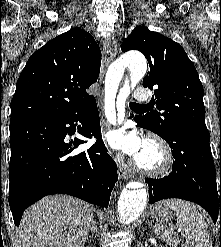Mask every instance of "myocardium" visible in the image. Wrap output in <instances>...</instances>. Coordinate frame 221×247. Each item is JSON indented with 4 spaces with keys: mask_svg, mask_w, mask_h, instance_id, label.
Masks as SVG:
<instances>
[{
    "mask_svg": "<svg viewBox=\"0 0 221 247\" xmlns=\"http://www.w3.org/2000/svg\"><path fill=\"white\" fill-rule=\"evenodd\" d=\"M145 144L152 146L158 152L160 161L156 166H146L135 157L132 160L134 169L149 177H163L168 175L174 169L176 161L172 146L157 134L149 135L145 140Z\"/></svg>",
    "mask_w": 221,
    "mask_h": 247,
    "instance_id": "myocardium-1",
    "label": "myocardium"
}]
</instances>
